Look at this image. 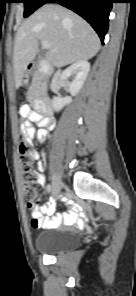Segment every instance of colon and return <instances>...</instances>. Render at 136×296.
<instances>
[{
  "label": "colon",
  "mask_w": 136,
  "mask_h": 296,
  "mask_svg": "<svg viewBox=\"0 0 136 296\" xmlns=\"http://www.w3.org/2000/svg\"><path fill=\"white\" fill-rule=\"evenodd\" d=\"M25 126L26 122L23 120ZM20 171L22 175V190L29 210L34 211L37 199L38 175L34 168L36 159L35 150L31 144L30 137L22 132L20 135Z\"/></svg>",
  "instance_id": "obj_1"
}]
</instances>
